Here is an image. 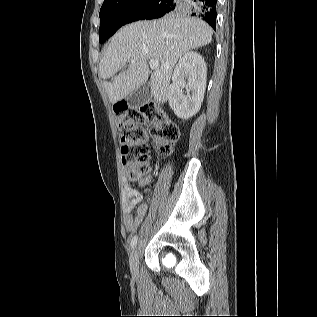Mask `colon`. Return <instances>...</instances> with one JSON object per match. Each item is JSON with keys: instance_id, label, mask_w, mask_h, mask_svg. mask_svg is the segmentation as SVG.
Returning a JSON list of instances; mask_svg holds the SVG:
<instances>
[{"instance_id": "obj_1", "label": "colon", "mask_w": 317, "mask_h": 317, "mask_svg": "<svg viewBox=\"0 0 317 317\" xmlns=\"http://www.w3.org/2000/svg\"><path fill=\"white\" fill-rule=\"evenodd\" d=\"M114 112L122 144V164L130 180H140L149 169L146 126H149L150 137L162 154L171 152L179 139V128L153 103L140 109L118 104Z\"/></svg>"}]
</instances>
